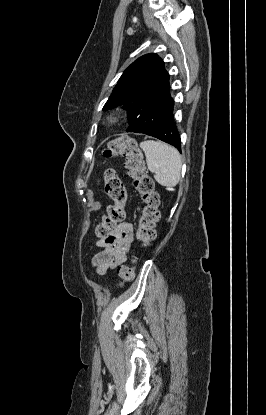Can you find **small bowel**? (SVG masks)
I'll return each instance as SVG.
<instances>
[{"label": "small bowel", "instance_id": "obj_1", "mask_svg": "<svg viewBox=\"0 0 266 415\" xmlns=\"http://www.w3.org/2000/svg\"><path fill=\"white\" fill-rule=\"evenodd\" d=\"M134 241V228L129 222L117 225L107 236L96 242L102 250L92 260L96 273L106 274L109 270L115 269L123 264L130 252Z\"/></svg>", "mask_w": 266, "mask_h": 415}]
</instances>
